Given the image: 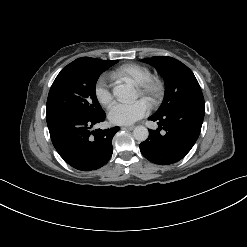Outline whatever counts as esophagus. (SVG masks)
I'll list each match as a JSON object with an SVG mask.
<instances>
[{
    "instance_id": "obj_1",
    "label": "esophagus",
    "mask_w": 247,
    "mask_h": 247,
    "mask_svg": "<svg viewBox=\"0 0 247 247\" xmlns=\"http://www.w3.org/2000/svg\"><path fill=\"white\" fill-rule=\"evenodd\" d=\"M123 128L127 129V130H133L135 128V126L134 125H128V126H124Z\"/></svg>"
}]
</instances>
